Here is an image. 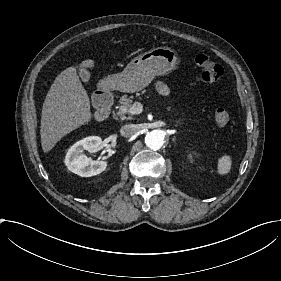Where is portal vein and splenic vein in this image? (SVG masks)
Wrapping results in <instances>:
<instances>
[{"mask_svg":"<svg viewBox=\"0 0 281 281\" xmlns=\"http://www.w3.org/2000/svg\"><path fill=\"white\" fill-rule=\"evenodd\" d=\"M141 111H142V105L139 104V105L137 106V102H135V103L132 105V107H131V112H132L133 114H138V113H141Z\"/></svg>","mask_w":281,"mask_h":281,"instance_id":"18ae733b","label":"portal vein and splenic vein"}]
</instances>
